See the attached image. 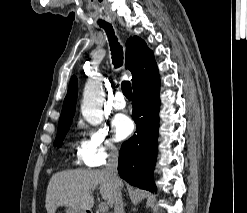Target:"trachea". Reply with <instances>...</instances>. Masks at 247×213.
Listing matches in <instances>:
<instances>
[{"mask_svg":"<svg viewBox=\"0 0 247 213\" xmlns=\"http://www.w3.org/2000/svg\"><path fill=\"white\" fill-rule=\"evenodd\" d=\"M105 31L108 36L110 48H111V54H112V62L115 66V68H119L123 65V51L122 47L118 43L117 37L114 34L113 27L111 24H103L100 25ZM122 92L126 96L127 99H132V88L131 83L129 81H123L121 84Z\"/></svg>","mask_w":247,"mask_h":213,"instance_id":"3493384b","label":"trachea"}]
</instances>
